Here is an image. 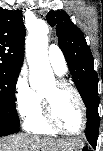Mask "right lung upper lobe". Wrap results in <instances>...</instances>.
<instances>
[{"instance_id":"obj_1","label":"right lung upper lobe","mask_w":103,"mask_h":151,"mask_svg":"<svg viewBox=\"0 0 103 151\" xmlns=\"http://www.w3.org/2000/svg\"><path fill=\"white\" fill-rule=\"evenodd\" d=\"M25 33L22 11L0 8V65L21 69Z\"/></svg>"}]
</instances>
